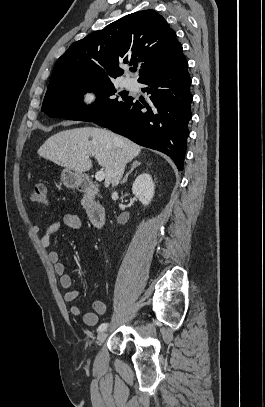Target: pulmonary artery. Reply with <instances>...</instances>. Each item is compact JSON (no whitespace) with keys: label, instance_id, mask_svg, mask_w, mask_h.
Listing matches in <instances>:
<instances>
[{"label":"pulmonary artery","instance_id":"pulmonary-artery-1","mask_svg":"<svg viewBox=\"0 0 265 407\" xmlns=\"http://www.w3.org/2000/svg\"><path fill=\"white\" fill-rule=\"evenodd\" d=\"M124 86L126 88L131 89V88H133L135 86V84H134V82L132 80H125L124 81Z\"/></svg>","mask_w":265,"mask_h":407}]
</instances>
